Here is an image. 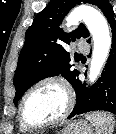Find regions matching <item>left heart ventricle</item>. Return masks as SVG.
<instances>
[{
	"label": "left heart ventricle",
	"instance_id": "1",
	"mask_svg": "<svg viewBox=\"0 0 116 134\" xmlns=\"http://www.w3.org/2000/svg\"><path fill=\"white\" fill-rule=\"evenodd\" d=\"M66 105V96L56 84L34 89L26 98L24 116L31 123H42L59 116Z\"/></svg>",
	"mask_w": 116,
	"mask_h": 134
}]
</instances>
